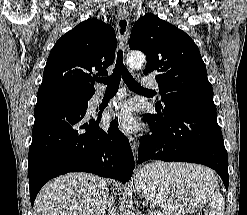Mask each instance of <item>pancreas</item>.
I'll use <instances>...</instances> for the list:
<instances>
[{"label":"pancreas","instance_id":"cf45deb5","mask_svg":"<svg viewBox=\"0 0 247 215\" xmlns=\"http://www.w3.org/2000/svg\"><path fill=\"white\" fill-rule=\"evenodd\" d=\"M163 215H172L169 212H163Z\"/></svg>","mask_w":247,"mask_h":215}]
</instances>
